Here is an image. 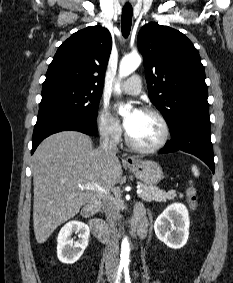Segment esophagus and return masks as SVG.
Instances as JSON below:
<instances>
[{
	"label": "esophagus",
	"mask_w": 233,
	"mask_h": 283,
	"mask_svg": "<svg viewBox=\"0 0 233 283\" xmlns=\"http://www.w3.org/2000/svg\"><path fill=\"white\" fill-rule=\"evenodd\" d=\"M125 161H126L127 163H133V162H135V158L132 157V156H126V157H125Z\"/></svg>",
	"instance_id": "34e87169"
}]
</instances>
